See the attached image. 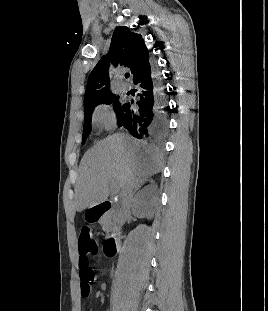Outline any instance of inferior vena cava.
<instances>
[{"label": "inferior vena cava", "instance_id": "inferior-vena-cava-1", "mask_svg": "<svg viewBox=\"0 0 268 311\" xmlns=\"http://www.w3.org/2000/svg\"><path fill=\"white\" fill-rule=\"evenodd\" d=\"M122 196V204L119 211V222L120 224H123L125 215L129 212L132 196H133V190L130 187H127L121 194Z\"/></svg>", "mask_w": 268, "mask_h": 311}]
</instances>
